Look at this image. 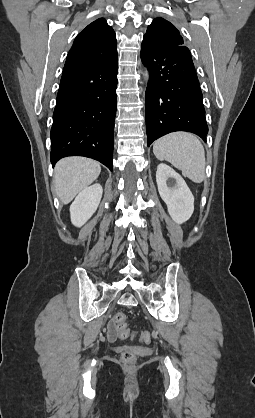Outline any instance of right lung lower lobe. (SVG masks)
I'll return each mask as SVG.
<instances>
[{
    "label": "right lung lower lobe",
    "mask_w": 255,
    "mask_h": 418,
    "mask_svg": "<svg viewBox=\"0 0 255 418\" xmlns=\"http://www.w3.org/2000/svg\"><path fill=\"white\" fill-rule=\"evenodd\" d=\"M118 58L63 72L51 128V162L85 156L113 169Z\"/></svg>",
    "instance_id": "obj_1"
}]
</instances>
